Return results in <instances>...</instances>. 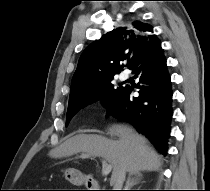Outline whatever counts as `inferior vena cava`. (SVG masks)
<instances>
[{"instance_id":"obj_1","label":"inferior vena cava","mask_w":210,"mask_h":191,"mask_svg":"<svg viewBox=\"0 0 210 191\" xmlns=\"http://www.w3.org/2000/svg\"><path fill=\"white\" fill-rule=\"evenodd\" d=\"M125 175H126V169L121 168V170L118 172V174L113 182L114 190H122L123 183L125 180Z\"/></svg>"}]
</instances>
